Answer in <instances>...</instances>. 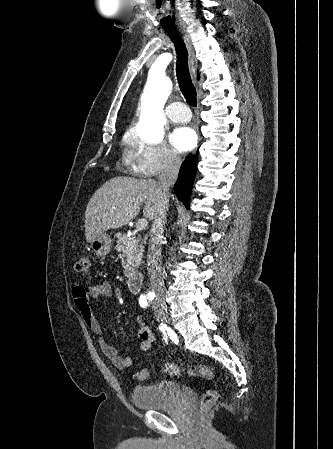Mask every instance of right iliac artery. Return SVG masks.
<instances>
[{
  "label": "right iliac artery",
  "mask_w": 333,
  "mask_h": 449,
  "mask_svg": "<svg viewBox=\"0 0 333 449\" xmlns=\"http://www.w3.org/2000/svg\"><path fill=\"white\" fill-rule=\"evenodd\" d=\"M147 298H148V300H153V298H154V296L152 295V296H148V297H146V296H141L140 297V299H139V304H140V306L141 307H143V308H145V307H147Z\"/></svg>",
  "instance_id": "obj_1"
}]
</instances>
